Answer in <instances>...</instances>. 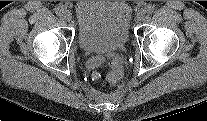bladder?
Returning a JSON list of instances; mask_svg holds the SVG:
<instances>
[{
	"label": "bladder",
	"mask_w": 207,
	"mask_h": 121,
	"mask_svg": "<svg viewBox=\"0 0 207 121\" xmlns=\"http://www.w3.org/2000/svg\"><path fill=\"white\" fill-rule=\"evenodd\" d=\"M78 40L91 53L122 50L129 38L132 17L126 1H79L75 6Z\"/></svg>",
	"instance_id": "bladder-1"
}]
</instances>
